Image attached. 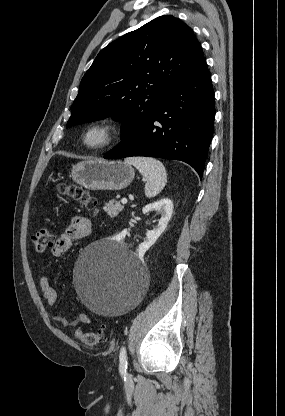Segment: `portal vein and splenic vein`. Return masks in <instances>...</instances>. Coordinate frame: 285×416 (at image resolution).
<instances>
[{
    "label": "portal vein and splenic vein",
    "mask_w": 285,
    "mask_h": 416,
    "mask_svg": "<svg viewBox=\"0 0 285 416\" xmlns=\"http://www.w3.org/2000/svg\"><path fill=\"white\" fill-rule=\"evenodd\" d=\"M121 204H127V200H126V198H122V200H121Z\"/></svg>",
    "instance_id": "18ae733b"
}]
</instances>
